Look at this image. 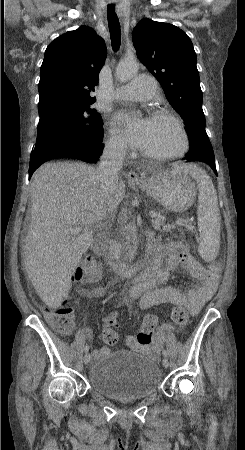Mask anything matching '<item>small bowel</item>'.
<instances>
[{
    "label": "small bowel",
    "instance_id": "c3829d8e",
    "mask_svg": "<svg viewBox=\"0 0 245 450\" xmlns=\"http://www.w3.org/2000/svg\"><path fill=\"white\" fill-rule=\"evenodd\" d=\"M147 258L153 259V265L134 277L130 289L132 300L141 309L160 304L183 305L192 316H195L218 287L220 264L217 263L219 268L215 271L210 267H202L183 242L176 240L160 242L157 236L151 233L148 238ZM178 268L184 269L195 278L199 286L187 292L171 286L170 278ZM105 289L106 286L92 287L82 290L81 295L88 298L99 297ZM172 329L169 323L157 324L152 339L156 350L163 347L166 334ZM125 344L131 349L148 350L140 346L133 335L125 338ZM110 352L111 347L104 346L99 353L109 354Z\"/></svg>",
    "mask_w": 245,
    "mask_h": 450
}]
</instances>
